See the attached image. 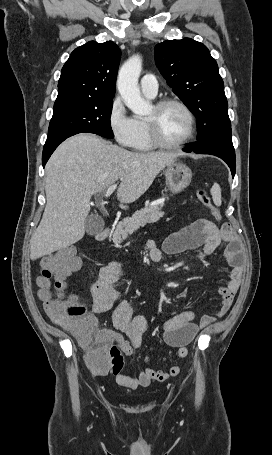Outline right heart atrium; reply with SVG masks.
<instances>
[{
  "instance_id": "obj_1",
  "label": "right heart atrium",
  "mask_w": 272,
  "mask_h": 455,
  "mask_svg": "<svg viewBox=\"0 0 272 455\" xmlns=\"http://www.w3.org/2000/svg\"><path fill=\"white\" fill-rule=\"evenodd\" d=\"M108 126L114 140L123 147H131L136 134L135 119L128 115L126 107L116 96L109 107Z\"/></svg>"
}]
</instances>
